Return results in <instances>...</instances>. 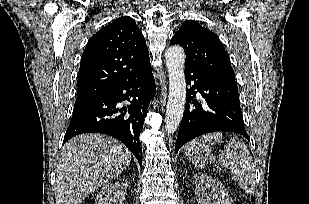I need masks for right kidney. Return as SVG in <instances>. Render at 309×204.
I'll use <instances>...</instances> for the list:
<instances>
[{
	"mask_svg": "<svg viewBox=\"0 0 309 204\" xmlns=\"http://www.w3.org/2000/svg\"><path fill=\"white\" fill-rule=\"evenodd\" d=\"M127 183L124 181H116L113 184L104 186L97 196L95 204H123Z\"/></svg>",
	"mask_w": 309,
	"mask_h": 204,
	"instance_id": "ca27d5eb",
	"label": "right kidney"
}]
</instances>
